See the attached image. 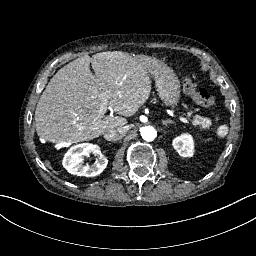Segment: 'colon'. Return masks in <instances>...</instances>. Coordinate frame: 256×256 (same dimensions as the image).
Instances as JSON below:
<instances>
[{
  "mask_svg": "<svg viewBox=\"0 0 256 256\" xmlns=\"http://www.w3.org/2000/svg\"><path fill=\"white\" fill-rule=\"evenodd\" d=\"M183 90L202 106L209 107L214 104L215 98L211 88L197 86L189 74H186L183 78Z\"/></svg>",
  "mask_w": 256,
  "mask_h": 256,
  "instance_id": "colon-1",
  "label": "colon"
}]
</instances>
